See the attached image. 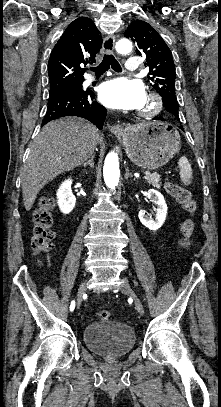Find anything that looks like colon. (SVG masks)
Here are the masks:
<instances>
[{
	"instance_id": "1",
	"label": "colon",
	"mask_w": 221,
	"mask_h": 407,
	"mask_svg": "<svg viewBox=\"0 0 221 407\" xmlns=\"http://www.w3.org/2000/svg\"><path fill=\"white\" fill-rule=\"evenodd\" d=\"M164 189L186 212V217L183 219L180 227V245L183 248H187L194 234L192 218L196 211V203L191 193L177 183L167 181L164 184ZM55 202V198L53 197H44L41 199L39 207L35 211L32 246L37 254L48 252L53 248L55 235L51 230L53 222L51 209L55 205ZM98 317L100 320L106 321L111 317V313L108 310H102L99 312Z\"/></svg>"
}]
</instances>
